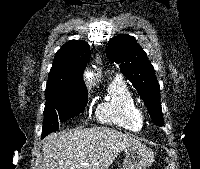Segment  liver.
Segmentation results:
<instances>
[{
    "mask_svg": "<svg viewBox=\"0 0 200 169\" xmlns=\"http://www.w3.org/2000/svg\"><path fill=\"white\" fill-rule=\"evenodd\" d=\"M135 145L141 143L112 128L52 133L43 140L41 169H108L124 149Z\"/></svg>",
    "mask_w": 200,
    "mask_h": 169,
    "instance_id": "1",
    "label": "liver"
}]
</instances>
